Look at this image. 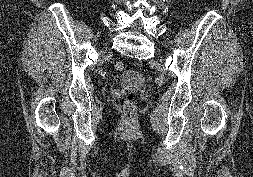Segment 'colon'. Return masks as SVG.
I'll list each match as a JSON object with an SVG mask.
<instances>
[{
    "instance_id": "obj_1",
    "label": "colon",
    "mask_w": 253,
    "mask_h": 177,
    "mask_svg": "<svg viewBox=\"0 0 253 177\" xmlns=\"http://www.w3.org/2000/svg\"><path fill=\"white\" fill-rule=\"evenodd\" d=\"M115 68L118 71H123L125 69V64L121 61L115 63ZM135 95L132 91H128L125 96V108L128 111H133L135 104H134Z\"/></svg>"
}]
</instances>
